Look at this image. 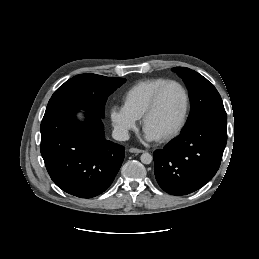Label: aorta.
<instances>
[{
	"instance_id": "1",
	"label": "aorta",
	"mask_w": 259,
	"mask_h": 259,
	"mask_svg": "<svg viewBox=\"0 0 259 259\" xmlns=\"http://www.w3.org/2000/svg\"><path fill=\"white\" fill-rule=\"evenodd\" d=\"M140 159L143 164H150L153 161L152 155L147 152L143 153L141 155Z\"/></svg>"
}]
</instances>
